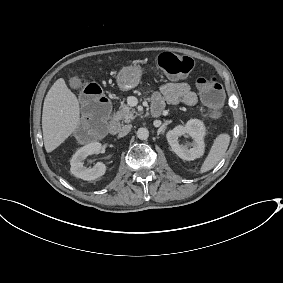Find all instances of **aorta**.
<instances>
[{
	"label": "aorta",
	"mask_w": 283,
	"mask_h": 283,
	"mask_svg": "<svg viewBox=\"0 0 283 283\" xmlns=\"http://www.w3.org/2000/svg\"><path fill=\"white\" fill-rule=\"evenodd\" d=\"M137 137L140 139V140H146L148 137H149V131L147 128H139L137 130Z\"/></svg>",
	"instance_id": "aorta-1"
}]
</instances>
